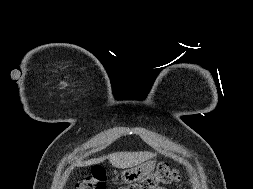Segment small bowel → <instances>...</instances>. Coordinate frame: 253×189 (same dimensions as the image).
<instances>
[{
  "instance_id": "obj_1",
  "label": "small bowel",
  "mask_w": 253,
  "mask_h": 189,
  "mask_svg": "<svg viewBox=\"0 0 253 189\" xmlns=\"http://www.w3.org/2000/svg\"><path fill=\"white\" fill-rule=\"evenodd\" d=\"M160 189H165L164 187H160Z\"/></svg>"
}]
</instances>
